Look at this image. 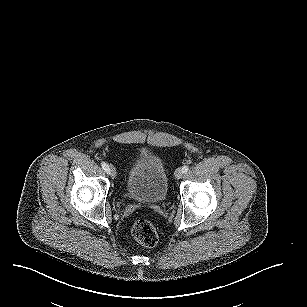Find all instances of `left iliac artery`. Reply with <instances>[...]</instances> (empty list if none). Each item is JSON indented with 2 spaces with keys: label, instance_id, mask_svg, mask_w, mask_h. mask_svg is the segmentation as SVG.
Segmentation results:
<instances>
[{
  "label": "left iliac artery",
  "instance_id": "left-iliac-artery-1",
  "mask_svg": "<svg viewBox=\"0 0 307 307\" xmlns=\"http://www.w3.org/2000/svg\"><path fill=\"white\" fill-rule=\"evenodd\" d=\"M182 169H183V172L185 173L189 170V166H184V167H182Z\"/></svg>",
  "mask_w": 307,
  "mask_h": 307
}]
</instances>
